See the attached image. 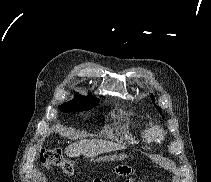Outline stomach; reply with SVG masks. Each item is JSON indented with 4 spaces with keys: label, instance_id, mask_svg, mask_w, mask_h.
Wrapping results in <instances>:
<instances>
[{
    "label": "stomach",
    "instance_id": "1",
    "mask_svg": "<svg viewBox=\"0 0 211 182\" xmlns=\"http://www.w3.org/2000/svg\"><path fill=\"white\" fill-rule=\"evenodd\" d=\"M124 155H120V156H118V158L120 159V160H123L124 159Z\"/></svg>",
    "mask_w": 211,
    "mask_h": 182
}]
</instances>
